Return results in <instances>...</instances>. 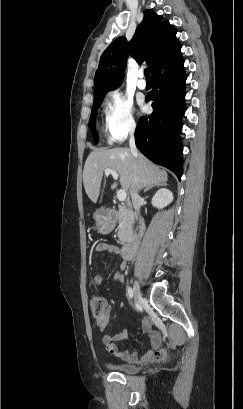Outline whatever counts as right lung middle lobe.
<instances>
[{"label": "right lung middle lobe", "mask_w": 243, "mask_h": 409, "mask_svg": "<svg viewBox=\"0 0 243 409\" xmlns=\"http://www.w3.org/2000/svg\"><path fill=\"white\" fill-rule=\"evenodd\" d=\"M102 101H103V98L94 100V104H93L92 112H91V117H90V120H89V128H90V131H91V133L93 135L95 144L98 143V139H99L98 133H97V131L95 129V118L97 116L98 108L100 107Z\"/></svg>", "instance_id": "1"}]
</instances>
